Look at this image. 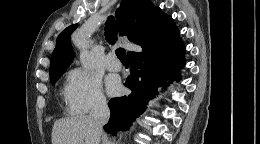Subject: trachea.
Listing matches in <instances>:
<instances>
[{"label":"trachea","instance_id":"trachea-1","mask_svg":"<svg viewBox=\"0 0 260 144\" xmlns=\"http://www.w3.org/2000/svg\"><path fill=\"white\" fill-rule=\"evenodd\" d=\"M118 33V24L115 19L110 16L105 23V37L109 44L113 45L116 43ZM117 58L122 63H128L126 51L123 48H118L115 51Z\"/></svg>","mask_w":260,"mask_h":144}]
</instances>
